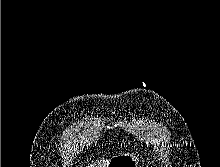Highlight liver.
I'll return each mask as SVG.
<instances>
[{
    "instance_id": "6515ba94",
    "label": "liver",
    "mask_w": 220,
    "mask_h": 167,
    "mask_svg": "<svg viewBox=\"0 0 220 167\" xmlns=\"http://www.w3.org/2000/svg\"><path fill=\"white\" fill-rule=\"evenodd\" d=\"M110 160H101L100 162L98 161L97 164H88L86 167H108Z\"/></svg>"
}]
</instances>
